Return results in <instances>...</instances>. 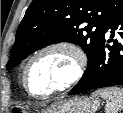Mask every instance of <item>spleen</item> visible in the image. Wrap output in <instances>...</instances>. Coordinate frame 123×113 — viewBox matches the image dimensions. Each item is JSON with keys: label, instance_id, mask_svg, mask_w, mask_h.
Listing matches in <instances>:
<instances>
[{"label": "spleen", "instance_id": "spleen-1", "mask_svg": "<svg viewBox=\"0 0 123 113\" xmlns=\"http://www.w3.org/2000/svg\"><path fill=\"white\" fill-rule=\"evenodd\" d=\"M95 97L106 100L105 113H118L123 109V88L110 87L97 90L93 93Z\"/></svg>", "mask_w": 123, "mask_h": 113}]
</instances>
